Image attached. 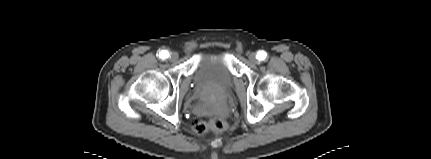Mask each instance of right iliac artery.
<instances>
[{
    "label": "right iliac artery",
    "instance_id": "right-iliac-artery-1",
    "mask_svg": "<svg viewBox=\"0 0 431 159\" xmlns=\"http://www.w3.org/2000/svg\"><path fill=\"white\" fill-rule=\"evenodd\" d=\"M159 57H160L161 59H166V58H168V57H169V52H168V51H166V50H162V51L159 53Z\"/></svg>",
    "mask_w": 431,
    "mask_h": 159
}]
</instances>
